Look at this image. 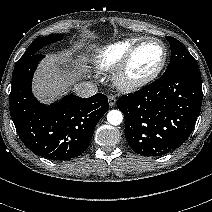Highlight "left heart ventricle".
Wrapping results in <instances>:
<instances>
[{
	"label": "left heart ventricle",
	"instance_id": "obj_1",
	"mask_svg": "<svg viewBox=\"0 0 212 212\" xmlns=\"http://www.w3.org/2000/svg\"><path fill=\"white\" fill-rule=\"evenodd\" d=\"M163 57V49L157 43L142 46L134 56L129 68V76L138 78L153 71Z\"/></svg>",
	"mask_w": 212,
	"mask_h": 212
}]
</instances>
